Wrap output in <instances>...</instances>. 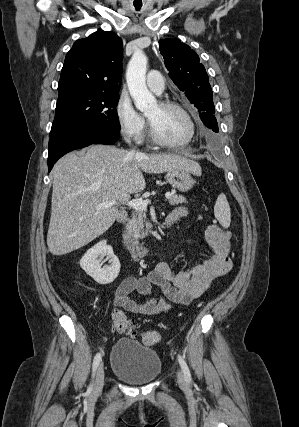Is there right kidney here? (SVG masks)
Returning <instances> with one entry per match:
<instances>
[{"instance_id": "obj_1", "label": "right kidney", "mask_w": 299, "mask_h": 427, "mask_svg": "<svg viewBox=\"0 0 299 427\" xmlns=\"http://www.w3.org/2000/svg\"><path fill=\"white\" fill-rule=\"evenodd\" d=\"M104 256L110 259L111 265L101 267V260ZM81 268L99 284H109L113 282L120 271V261L114 255L111 246L106 240H102L90 248L80 260Z\"/></svg>"}]
</instances>
